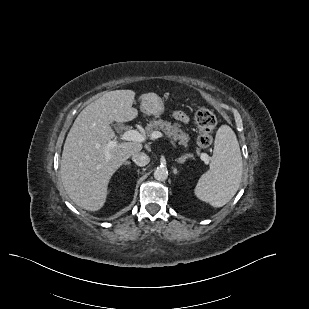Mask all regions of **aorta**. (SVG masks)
<instances>
[{
    "mask_svg": "<svg viewBox=\"0 0 309 309\" xmlns=\"http://www.w3.org/2000/svg\"><path fill=\"white\" fill-rule=\"evenodd\" d=\"M154 178L158 181H165L168 178V170L164 166H159L154 171Z\"/></svg>",
    "mask_w": 309,
    "mask_h": 309,
    "instance_id": "obj_1",
    "label": "aorta"
}]
</instances>
